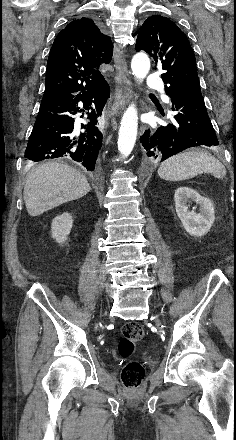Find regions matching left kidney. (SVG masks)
<instances>
[{
	"mask_svg": "<svg viewBox=\"0 0 236 440\" xmlns=\"http://www.w3.org/2000/svg\"><path fill=\"white\" fill-rule=\"evenodd\" d=\"M175 209L187 233L201 237L208 233L215 221L213 203L197 191L188 187H179L174 194ZM195 201L199 212L189 210L188 204Z\"/></svg>",
	"mask_w": 236,
	"mask_h": 440,
	"instance_id": "1",
	"label": "left kidney"
}]
</instances>
